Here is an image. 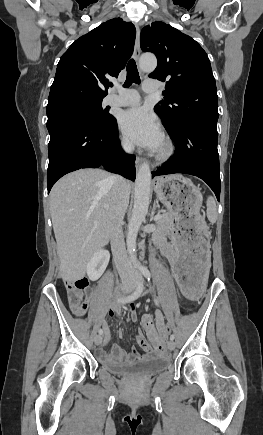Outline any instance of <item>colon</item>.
Returning a JSON list of instances; mask_svg holds the SVG:
<instances>
[{"label":"colon","instance_id":"5ec220e1","mask_svg":"<svg viewBox=\"0 0 263 435\" xmlns=\"http://www.w3.org/2000/svg\"><path fill=\"white\" fill-rule=\"evenodd\" d=\"M67 290L68 301L72 311L78 315L82 316L87 308L86 297L88 291V281L86 279H77L73 281H67L65 283ZM171 324L165 326V331L167 335H170ZM164 341V340H163ZM153 343V341H151Z\"/></svg>","mask_w":263,"mask_h":435}]
</instances>
